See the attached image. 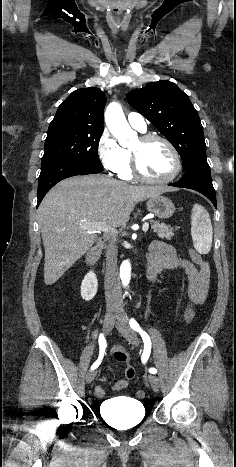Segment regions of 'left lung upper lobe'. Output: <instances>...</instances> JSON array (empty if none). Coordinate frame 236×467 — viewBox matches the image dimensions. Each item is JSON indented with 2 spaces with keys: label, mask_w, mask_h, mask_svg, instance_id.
I'll list each match as a JSON object with an SVG mask.
<instances>
[{
  "label": "left lung upper lobe",
  "mask_w": 236,
  "mask_h": 467,
  "mask_svg": "<svg viewBox=\"0 0 236 467\" xmlns=\"http://www.w3.org/2000/svg\"><path fill=\"white\" fill-rule=\"evenodd\" d=\"M126 98L175 147L184 171L206 162V144L198 113L176 84L165 80L152 82L129 92Z\"/></svg>",
  "instance_id": "1"
}]
</instances>
